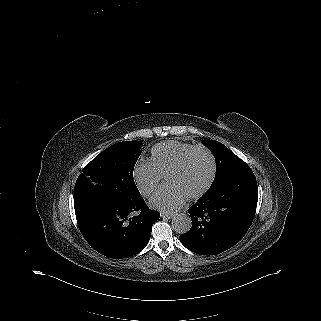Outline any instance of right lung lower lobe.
I'll list each match as a JSON object with an SVG mask.
<instances>
[{
	"instance_id": "right-lung-lower-lobe-1",
	"label": "right lung lower lobe",
	"mask_w": 321,
	"mask_h": 321,
	"mask_svg": "<svg viewBox=\"0 0 321 321\" xmlns=\"http://www.w3.org/2000/svg\"><path fill=\"white\" fill-rule=\"evenodd\" d=\"M79 229L97 252L113 259L135 255L149 242L151 227L160 214L142 198L135 202L106 203L75 209Z\"/></svg>"
}]
</instances>
